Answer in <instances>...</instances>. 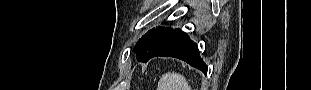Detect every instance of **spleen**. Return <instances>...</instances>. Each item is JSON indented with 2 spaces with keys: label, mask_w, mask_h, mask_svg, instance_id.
Instances as JSON below:
<instances>
[{
  "label": "spleen",
  "mask_w": 311,
  "mask_h": 90,
  "mask_svg": "<svg viewBox=\"0 0 311 90\" xmlns=\"http://www.w3.org/2000/svg\"><path fill=\"white\" fill-rule=\"evenodd\" d=\"M158 90H191L185 77L176 72H168L160 78Z\"/></svg>",
  "instance_id": "3e777b00"
}]
</instances>
